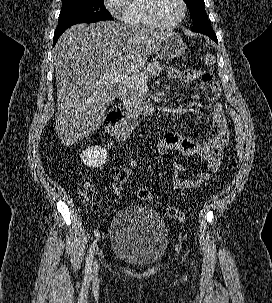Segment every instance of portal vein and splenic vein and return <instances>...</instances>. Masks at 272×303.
Segmentation results:
<instances>
[{
    "mask_svg": "<svg viewBox=\"0 0 272 303\" xmlns=\"http://www.w3.org/2000/svg\"><path fill=\"white\" fill-rule=\"evenodd\" d=\"M148 76L138 77L136 75H117L112 74L108 75L100 80L102 82H113V83H120L123 85H133L144 87L147 86Z\"/></svg>",
    "mask_w": 272,
    "mask_h": 303,
    "instance_id": "obj_1",
    "label": "portal vein and splenic vein"
}]
</instances>
